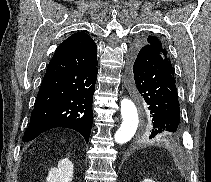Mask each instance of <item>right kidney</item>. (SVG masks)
Wrapping results in <instances>:
<instances>
[{
  "label": "right kidney",
  "instance_id": "ca27d5eb",
  "mask_svg": "<svg viewBox=\"0 0 211 182\" xmlns=\"http://www.w3.org/2000/svg\"><path fill=\"white\" fill-rule=\"evenodd\" d=\"M73 178V163L68 159L58 162L57 168H51L46 182H71Z\"/></svg>",
  "mask_w": 211,
  "mask_h": 182
}]
</instances>
